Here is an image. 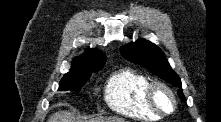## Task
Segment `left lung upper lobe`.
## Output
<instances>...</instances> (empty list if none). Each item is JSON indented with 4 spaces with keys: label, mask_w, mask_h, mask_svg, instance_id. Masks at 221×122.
<instances>
[{
    "label": "left lung upper lobe",
    "mask_w": 221,
    "mask_h": 122,
    "mask_svg": "<svg viewBox=\"0 0 221 122\" xmlns=\"http://www.w3.org/2000/svg\"><path fill=\"white\" fill-rule=\"evenodd\" d=\"M120 51L125 59L148 68L163 80L179 87L178 95L182 101H186L181 89L180 78L170 67L164 53L155 44L145 39H139L135 43L122 47Z\"/></svg>",
    "instance_id": "1"
}]
</instances>
